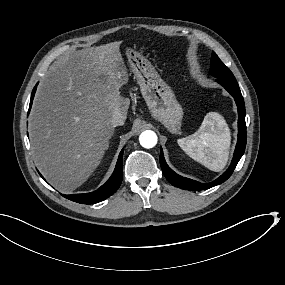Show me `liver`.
<instances>
[{
    "label": "liver",
    "mask_w": 285,
    "mask_h": 285,
    "mask_svg": "<svg viewBox=\"0 0 285 285\" xmlns=\"http://www.w3.org/2000/svg\"><path fill=\"white\" fill-rule=\"evenodd\" d=\"M120 42L66 52L40 80L28 131L35 164L62 193L81 186L100 164L114 133L115 111L130 100Z\"/></svg>",
    "instance_id": "6515ba94"
}]
</instances>
